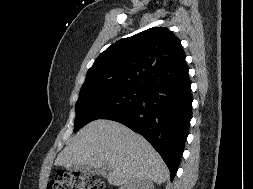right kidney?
Masks as SVG:
<instances>
[{"mask_svg": "<svg viewBox=\"0 0 253 189\" xmlns=\"http://www.w3.org/2000/svg\"><path fill=\"white\" fill-rule=\"evenodd\" d=\"M120 189H154V185L147 179H134L124 184Z\"/></svg>", "mask_w": 253, "mask_h": 189, "instance_id": "right-kidney-1", "label": "right kidney"}]
</instances>
